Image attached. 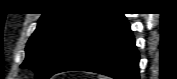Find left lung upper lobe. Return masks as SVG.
<instances>
[{
    "instance_id": "left-lung-upper-lobe-1",
    "label": "left lung upper lobe",
    "mask_w": 177,
    "mask_h": 79,
    "mask_svg": "<svg viewBox=\"0 0 177 79\" xmlns=\"http://www.w3.org/2000/svg\"><path fill=\"white\" fill-rule=\"evenodd\" d=\"M107 15L99 11L44 13L26 46L21 65L33 69L36 79H49L82 40Z\"/></svg>"
}]
</instances>
